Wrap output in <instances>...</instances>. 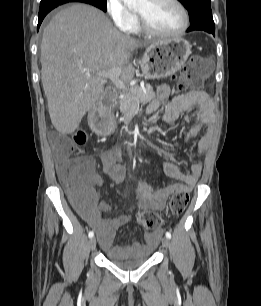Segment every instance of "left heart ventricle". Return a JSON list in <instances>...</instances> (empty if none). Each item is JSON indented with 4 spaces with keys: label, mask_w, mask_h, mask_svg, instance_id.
I'll list each match as a JSON object with an SVG mask.
<instances>
[{
    "label": "left heart ventricle",
    "mask_w": 261,
    "mask_h": 306,
    "mask_svg": "<svg viewBox=\"0 0 261 306\" xmlns=\"http://www.w3.org/2000/svg\"><path fill=\"white\" fill-rule=\"evenodd\" d=\"M135 11L143 15L154 29L161 32H174L182 23L180 10L170 0H141Z\"/></svg>",
    "instance_id": "obj_1"
}]
</instances>
